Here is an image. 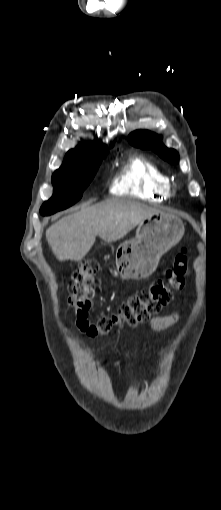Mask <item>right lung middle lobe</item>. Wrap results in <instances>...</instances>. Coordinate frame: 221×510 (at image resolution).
Instances as JSON below:
<instances>
[{
  "mask_svg": "<svg viewBox=\"0 0 221 510\" xmlns=\"http://www.w3.org/2000/svg\"><path fill=\"white\" fill-rule=\"evenodd\" d=\"M106 154L77 164H62L52 175L53 196L43 203L40 214L48 216L76 203L92 181Z\"/></svg>",
  "mask_w": 221,
  "mask_h": 510,
  "instance_id": "right-lung-middle-lobe-1",
  "label": "right lung middle lobe"
}]
</instances>
